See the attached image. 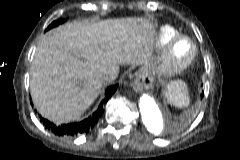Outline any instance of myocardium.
I'll return each instance as SVG.
<instances>
[{
	"instance_id": "obj_1",
	"label": "myocardium",
	"mask_w": 240,
	"mask_h": 160,
	"mask_svg": "<svg viewBox=\"0 0 240 160\" xmlns=\"http://www.w3.org/2000/svg\"><path fill=\"white\" fill-rule=\"evenodd\" d=\"M187 42L190 46L189 53L184 57L176 54V45L179 42ZM198 54L196 43L186 35L175 36L165 47L158 63V74L162 78H169L186 70L195 60Z\"/></svg>"
}]
</instances>
